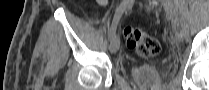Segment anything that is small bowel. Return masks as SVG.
I'll list each match as a JSON object with an SVG mask.
<instances>
[{"label": "small bowel", "instance_id": "small-bowel-1", "mask_svg": "<svg viewBox=\"0 0 209 90\" xmlns=\"http://www.w3.org/2000/svg\"><path fill=\"white\" fill-rule=\"evenodd\" d=\"M98 2L101 5H107V3H108V1H106V0H99Z\"/></svg>", "mask_w": 209, "mask_h": 90}]
</instances>
